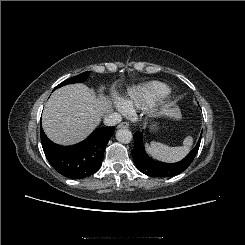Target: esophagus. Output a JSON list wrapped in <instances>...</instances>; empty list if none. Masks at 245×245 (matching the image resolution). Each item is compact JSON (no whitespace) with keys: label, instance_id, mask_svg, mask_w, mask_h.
Listing matches in <instances>:
<instances>
[{"label":"esophagus","instance_id":"34e87169","mask_svg":"<svg viewBox=\"0 0 245 245\" xmlns=\"http://www.w3.org/2000/svg\"><path fill=\"white\" fill-rule=\"evenodd\" d=\"M117 128H125V129H127V128H129V123L128 122H122V123H120L117 126Z\"/></svg>","mask_w":245,"mask_h":245}]
</instances>
